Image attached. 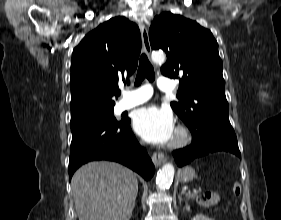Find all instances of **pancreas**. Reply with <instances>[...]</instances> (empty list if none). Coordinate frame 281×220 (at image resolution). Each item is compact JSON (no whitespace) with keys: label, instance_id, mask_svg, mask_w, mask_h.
<instances>
[{"label":"pancreas","instance_id":"obj_1","mask_svg":"<svg viewBox=\"0 0 281 220\" xmlns=\"http://www.w3.org/2000/svg\"><path fill=\"white\" fill-rule=\"evenodd\" d=\"M186 197L188 199H198L199 198V196L197 194H194V193H191V192H187Z\"/></svg>","mask_w":281,"mask_h":220}]
</instances>
